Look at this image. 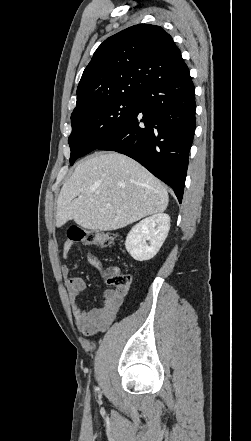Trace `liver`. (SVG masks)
I'll list each match as a JSON object with an SVG mask.
<instances>
[{"label":"liver","mask_w":251,"mask_h":441,"mask_svg":"<svg viewBox=\"0 0 251 441\" xmlns=\"http://www.w3.org/2000/svg\"><path fill=\"white\" fill-rule=\"evenodd\" d=\"M167 205L166 188L143 166L120 153H98L79 163L63 185L56 226L74 220L85 229L112 231Z\"/></svg>","instance_id":"liver-1"}]
</instances>
